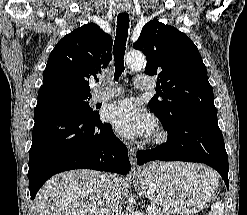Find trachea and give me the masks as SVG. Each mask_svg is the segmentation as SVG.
I'll list each match as a JSON object with an SVG mask.
<instances>
[{
	"mask_svg": "<svg viewBox=\"0 0 247 215\" xmlns=\"http://www.w3.org/2000/svg\"><path fill=\"white\" fill-rule=\"evenodd\" d=\"M129 15L120 13L117 16L116 36L113 46L115 73L114 80L118 81L120 75L124 72V54L126 50V41L128 37Z\"/></svg>",
	"mask_w": 247,
	"mask_h": 215,
	"instance_id": "1",
	"label": "trachea"
}]
</instances>
